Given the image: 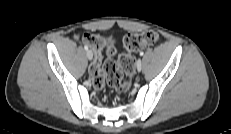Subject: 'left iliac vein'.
Segmentation results:
<instances>
[{
    "mask_svg": "<svg viewBox=\"0 0 231 134\" xmlns=\"http://www.w3.org/2000/svg\"><path fill=\"white\" fill-rule=\"evenodd\" d=\"M141 69H142V61L139 59V60L137 61V70L140 72Z\"/></svg>",
    "mask_w": 231,
    "mask_h": 134,
    "instance_id": "4c4485c4",
    "label": "left iliac vein"
}]
</instances>
